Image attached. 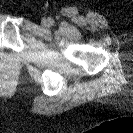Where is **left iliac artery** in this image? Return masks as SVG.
Here are the masks:
<instances>
[{"label":"left iliac artery","instance_id":"1","mask_svg":"<svg viewBox=\"0 0 133 133\" xmlns=\"http://www.w3.org/2000/svg\"><path fill=\"white\" fill-rule=\"evenodd\" d=\"M49 22L51 25H53V23H54L53 19H51V18L49 19Z\"/></svg>","mask_w":133,"mask_h":133}]
</instances>
